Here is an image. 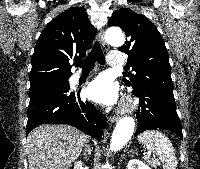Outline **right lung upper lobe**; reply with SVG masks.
I'll use <instances>...</instances> for the list:
<instances>
[{
  "label": "right lung upper lobe",
  "mask_w": 200,
  "mask_h": 169,
  "mask_svg": "<svg viewBox=\"0 0 200 169\" xmlns=\"http://www.w3.org/2000/svg\"><path fill=\"white\" fill-rule=\"evenodd\" d=\"M96 29L82 8H69L42 31L31 59L30 86L51 79H68L71 59L78 61L91 48Z\"/></svg>",
  "instance_id": "1"
}]
</instances>
